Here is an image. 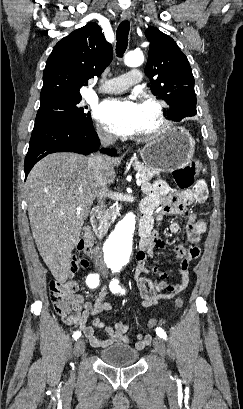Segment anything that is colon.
Here are the masks:
<instances>
[{"label":"colon","mask_w":243,"mask_h":409,"mask_svg":"<svg viewBox=\"0 0 243 409\" xmlns=\"http://www.w3.org/2000/svg\"><path fill=\"white\" fill-rule=\"evenodd\" d=\"M205 171V166L201 161H192L191 163L177 169L173 173V178L177 186L181 189H187L192 186L195 178ZM93 235L85 233L81 238L78 249L81 255L75 257L71 263V274L74 275L80 270L86 268L89 264L88 255L93 247ZM50 297L57 314L66 323H75L80 310L74 302V294L78 290V283L74 279L68 281H52L50 283ZM184 305V300L178 297L173 302V311H179ZM161 324L158 319H150L147 322V327L152 329Z\"/></svg>","instance_id":"colon-1"}]
</instances>
